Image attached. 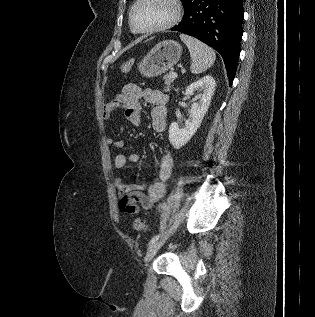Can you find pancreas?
I'll use <instances>...</instances> for the list:
<instances>
[{"mask_svg": "<svg viewBox=\"0 0 315 317\" xmlns=\"http://www.w3.org/2000/svg\"><path fill=\"white\" fill-rule=\"evenodd\" d=\"M174 79H175V78L170 77V75H166V76L164 77V82H165L164 90H165V91H169V90H170L171 85H172Z\"/></svg>", "mask_w": 315, "mask_h": 317, "instance_id": "pancreas-1", "label": "pancreas"}]
</instances>
